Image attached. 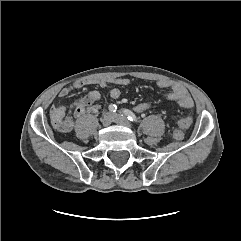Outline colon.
Returning <instances> with one entry per match:
<instances>
[{
	"label": "colon",
	"instance_id": "obj_1",
	"mask_svg": "<svg viewBox=\"0 0 241 241\" xmlns=\"http://www.w3.org/2000/svg\"><path fill=\"white\" fill-rule=\"evenodd\" d=\"M150 108H151V104L149 102H140L134 106V111L137 113H145L149 111ZM52 120L54 125L58 129H62L64 123L66 122L65 115L60 111L54 112ZM192 123H193V120L191 117L181 118L178 122L179 129H176L173 133L174 139L182 140L184 137L182 130L188 129L192 125Z\"/></svg>",
	"mask_w": 241,
	"mask_h": 241
}]
</instances>
